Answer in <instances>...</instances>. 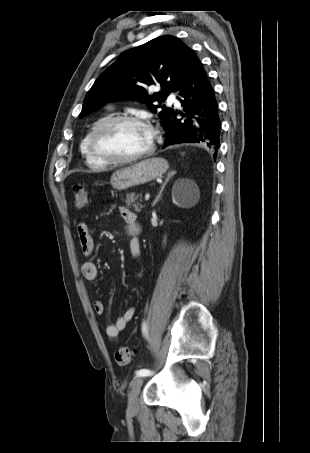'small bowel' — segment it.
<instances>
[{"instance_id": "small-bowel-1", "label": "small bowel", "mask_w": 310, "mask_h": 453, "mask_svg": "<svg viewBox=\"0 0 310 453\" xmlns=\"http://www.w3.org/2000/svg\"><path fill=\"white\" fill-rule=\"evenodd\" d=\"M120 213L125 221L127 232L131 236L130 251L133 258H138L141 252V244L138 238L140 231L137 215L125 207L120 208ZM78 240L82 253L85 256H91L94 251V240L90 228L86 222H80L77 226ZM81 272L83 277L88 281H97L99 272L96 265L91 261H85L81 265ZM94 311L101 315L104 313V305L102 301L95 300L93 303ZM135 315V308L129 306L125 309L123 314L116 318L113 323L106 325L105 333L111 338L115 339L118 334L125 329L127 324L133 319Z\"/></svg>"}]
</instances>
